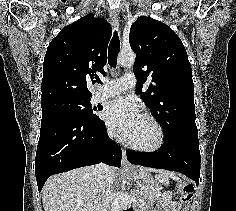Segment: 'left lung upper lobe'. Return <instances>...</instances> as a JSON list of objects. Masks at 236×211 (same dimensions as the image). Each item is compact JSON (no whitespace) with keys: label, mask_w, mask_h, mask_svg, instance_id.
<instances>
[{"label":"left lung upper lobe","mask_w":236,"mask_h":211,"mask_svg":"<svg viewBox=\"0 0 236 211\" xmlns=\"http://www.w3.org/2000/svg\"><path fill=\"white\" fill-rule=\"evenodd\" d=\"M129 41L136 53L133 66L137 93L164 129L165 138L196 136L194 85L185 47L170 27L141 16L130 28ZM151 80L147 91L142 86Z\"/></svg>","instance_id":"5c2ea615"}]
</instances>
